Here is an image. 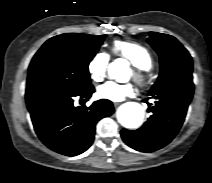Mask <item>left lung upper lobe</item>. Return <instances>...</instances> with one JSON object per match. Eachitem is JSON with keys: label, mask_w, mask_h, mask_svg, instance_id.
<instances>
[{"label": "left lung upper lobe", "mask_w": 212, "mask_h": 183, "mask_svg": "<svg viewBox=\"0 0 212 183\" xmlns=\"http://www.w3.org/2000/svg\"><path fill=\"white\" fill-rule=\"evenodd\" d=\"M147 41L160 57V75L151 90L173 79L192 75V58L176 38L167 34L150 32Z\"/></svg>", "instance_id": "5c2ea615"}]
</instances>
